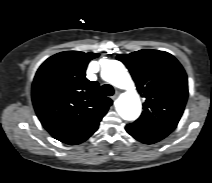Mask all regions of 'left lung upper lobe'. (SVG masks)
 <instances>
[{
    "mask_svg": "<svg viewBox=\"0 0 212 183\" xmlns=\"http://www.w3.org/2000/svg\"><path fill=\"white\" fill-rule=\"evenodd\" d=\"M117 59L127 66L145 98L144 111L133 124L171 133L188 97L187 76L181 64L167 52L147 49L118 55Z\"/></svg>",
    "mask_w": 212,
    "mask_h": 183,
    "instance_id": "obj_1",
    "label": "left lung upper lobe"
}]
</instances>
